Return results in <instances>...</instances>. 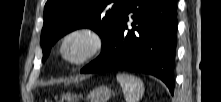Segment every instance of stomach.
<instances>
[{
  "label": "stomach",
  "instance_id": "0dacf381",
  "mask_svg": "<svg viewBox=\"0 0 221 102\" xmlns=\"http://www.w3.org/2000/svg\"><path fill=\"white\" fill-rule=\"evenodd\" d=\"M110 96L111 90L106 86H100L90 91L87 95V99L90 100V102H107ZM78 98H82V96H77L70 93L62 95V100L65 99L67 102H75L74 100H77Z\"/></svg>",
  "mask_w": 221,
  "mask_h": 102
}]
</instances>
